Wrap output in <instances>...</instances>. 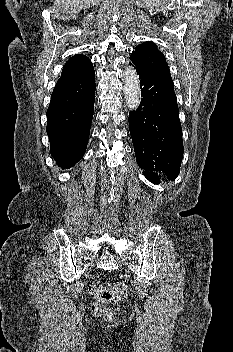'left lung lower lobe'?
<instances>
[{
	"label": "left lung lower lobe",
	"instance_id": "obj_1",
	"mask_svg": "<svg viewBox=\"0 0 233 352\" xmlns=\"http://www.w3.org/2000/svg\"><path fill=\"white\" fill-rule=\"evenodd\" d=\"M141 88L139 107L129 113V129L137 163L145 177L162 172L175 180L183 158L182 130L174 86L136 67Z\"/></svg>",
	"mask_w": 233,
	"mask_h": 352
}]
</instances>
